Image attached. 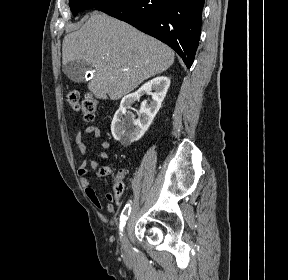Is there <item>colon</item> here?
<instances>
[{
    "label": "colon",
    "mask_w": 288,
    "mask_h": 280,
    "mask_svg": "<svg viewBox=\"0 0 288 280\" xmlns=\"http://www.w3.org/2000/svg\"><path fill=\"white\" fill-rule=\"evenodd\" d=\"M67 100L74 110H81L85 120L92 121L98 106V99L92 95L87 94L80 102V94L76 90H70L67 94ZM104 171V170H103ZM114 195H119L123 190L122 178L119 175L112 183Z\"/></svg>",
    "instance_id": "1"
}]
</instances>
